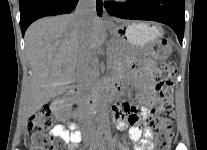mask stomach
Listing matches in <instances>:
<instances>
[{"mask_svg": "<svg viewBox=\"0 0 207 150\" xmlns=\"http://www.w3.org/2000/svg\"><path fill=\"white\" fill-rule=\"evenodd\" d=\"M108 30L113 36L115 47L120 49L119 57L122 59L131 53L127 48L136 54H142L164 33L159 24L144 22H123L108 26Z\"/></svg>", "mask_w": 207, "mask_h": 150, "instance_id": "stomach-1", "label": "stomach"}]
</instances>
